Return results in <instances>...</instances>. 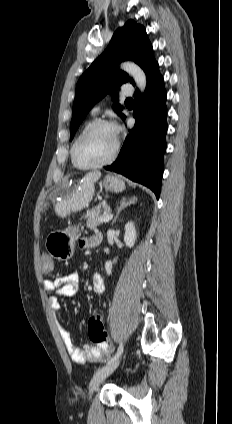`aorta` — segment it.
<instances>
[{
	"mask_svg": "<svg viewBox=\"0 0 232 424\" xmlns=\"http://www.w3.org/2000/svg\"><path fill=\"white\" fill-rule=\"evenodd\" d=\"M120 67L122 70L133 77L137 87L143 92L147 83L144 71L138 65L132 62H124Z\"/></svg>",
	"mask_w": 232,
	"mask_h": 424,
	"instance_id": "obj_1",
	"label": "aorta"
}]
</instances>
